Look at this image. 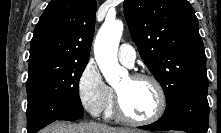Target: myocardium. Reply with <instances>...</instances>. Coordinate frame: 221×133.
Returning a JSON list of instances; mask_svg holds the SVG:
<instances>
[{
	"mask_svg": "<svg viewBox=\"0 0 221 133\" xmlns=\"http://www.w3.org/2000/svg\"><path fill=\"white\" fill-rule=\"evenodd\" d=\"M129 77L132 80H147L151 82L157 92L158 105H157L155 112L148 118L136 119V118L130 117L124 111L121 97L118 91L115 90V112H116L117 117L125 123L136 125V126H144V125H149V124L156 122L157 120L161 118V116L163 115L166 109V95H165V91L161 82L155 76L151 74H147V73H134V74H131Z\"/></svg>",
	"mask_w": 221,
	"mask_h": 133,
	"instance_id": "myocardium-1",
	"label": "myocardium"
}]
</instances>
